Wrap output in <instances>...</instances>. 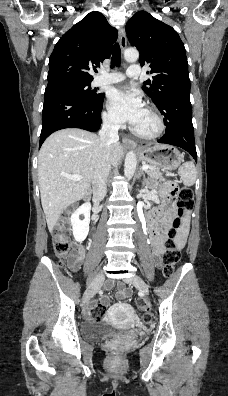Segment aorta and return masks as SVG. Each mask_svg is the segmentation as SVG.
<instances>
[{
	"label": "aorta",
	"instance_id": "762f6f07",
	"mask_svg": "<svg viewBox=\"0 0 228 396\" xmlns=\"http://www.w3.org/2000/svg\"><path fill=\"white\" fill-rule=\"evenodd\" d=\"M124 58L127 62H136L139 58V52L136 49H127L124 52ZM136 164L137 160L135 153L133 151H129L126 154L124 163V175L127 179H131L133 177L136 169Z\"/></svg>",
	"mask_w": 228,
	"mask_h": 396
}]
</instances>
